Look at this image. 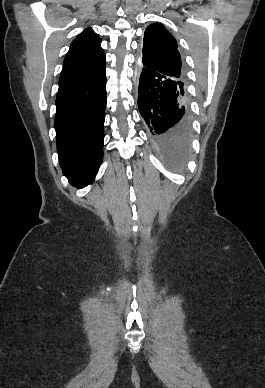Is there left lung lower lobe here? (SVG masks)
Wrapping results in <instances>:
<instances>
[{
	"instance_id": "left-lung-lower-lobe-1",
	"label": "left lung lower lobe",
	"mask_w": 265,
	"mask_h": 388,
	"mask_svg": "<svg viewBox=\"0 0 265 388\" xmlns=\"http://www.w3.org/2000/svg\"><path fill=\"white\" fill-rule=\"evenodd\" d=\"M138 94L151 142L170 166L183 167L189 151L190 114L181 82L143 67Z\"/></svg>"
}]
</instances>
